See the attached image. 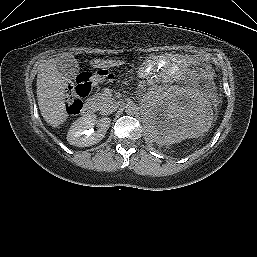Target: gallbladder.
<instances>
[{"label": "gallbladder", "mask_w": 257, "mask_h": 257, "mask_svg": "<svg viewBox=\"0 0 257 257\" xmlns=\"http://www.w3.org/2000/svg\"><path fill=\"white\" fill-rule=\"evenodd\" d=\"M57 69L67 78L75 79L79 74V64L73 55L63 53L58 55L54 61Z\"/></svg>", "instance_id": "bac80fb5"}]
</instances>
